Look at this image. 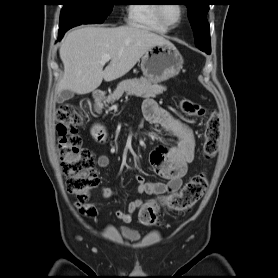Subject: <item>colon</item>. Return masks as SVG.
<instances>
[{
  "instance_id": "obj_1",
  "label": "colon",
  "mask_w": 278,
  "mask_h": 278,
  "mask_svg": "<svg viewBox=\"0 0 278 278\" xmlns=\"http://www.w3.org/2000/svg\"><path fill=\"white\" fill-rule=\"evenodd\" d=\"M181 111L192 117L207 114L205 107L189 99L180 102ZM56 130L58 134V155L62 173L66 177L67 191L76 197L77 203L84 204L92 188L98 182V172L92 153L82 147L78 128L85 120L83 112L73 104H63L56 111ZM221 137L220 116L217 112L207 115L204 131L203 152L207 160L218 151ZM207 178L200 173L193 176L184 187L160 201H150L139 211V221L146 226L157 225L161 216V207L170 211H190L204 195Z\"/></svg>"
}]
</instances>
